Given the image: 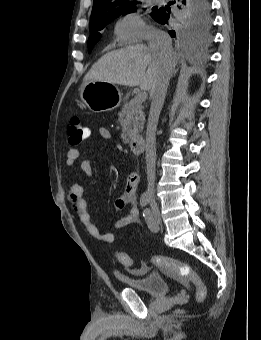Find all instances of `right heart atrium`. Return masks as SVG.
Instances as JSON below:
<instances>
[{
	"instance_id": "right-heart-atrium-1",
	"label": "right heart atrium",
	"mask_w": 261,
	"mask_h": 340,
	"mask_svg": "<svg viewBox=\"0 0 261 340\" xmlns=\"http://www.w3.org/2000/svg\"><path fill=\"white\" fill-rule=\"evenodd\" d=\"M115 32L122 43L140 42L154 34L153 28L137 12H128L119 17Z\"/></svg>"
}]
</instances>
